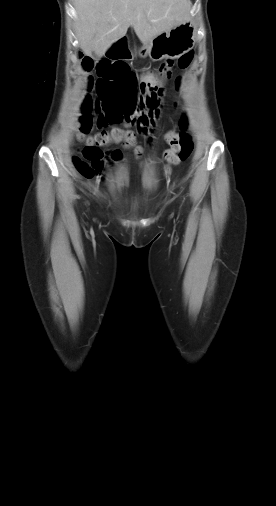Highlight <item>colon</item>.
Masks as SVG:
<instances>
[{"instance_id":"5ec220e1","label":"colon","mask_w":276,"mask_h":506,"mask_svg":"<svg viewBox=\"0 0 276 506\" xmlns=\"http://www.w3.org/2000/svg\"><path fill=\"white\" fill-rule=\"evenodd\" d=\"M106 51V50H105ZM80 62L85 71L92 69L93 56L85 50L78 52ZM134 57V56H133ZM132 58L118 59L110 58L101 54L98 57L100 63L96 88L99 94L98 99L86 97L82 104V115L79 118L78 137L84 141L82 157L73 158L76 169L84 176L91 178L99 173L104 167L105 153L103 147L114 141L126 148H133L135 158H139L143 149L136 145L135 135L132 131L116 129L112 132L100 130L94 136L90 132L94 127L103 128L106 125L125 120L135 124L141 132H147L157 118L160 108V98L163 94L161 86L149 81H142L138 85L137 80L142 77L140 69H127L122 66ZM193 58L191 51L184 53L178 59V66L181 69L189 67ZM111 62V64H108ZM172 62L168 61L162 65L160 71L167 73ZM92 84L89 79L88 86ZM138 89L140 95L138 94ZM187 121L181 123V131H169L165 139L169 149L164 153L166 166L165 175L171 173V167L189 158L192 152V142L187 133Z\"/></svg>"}]
</instances>
